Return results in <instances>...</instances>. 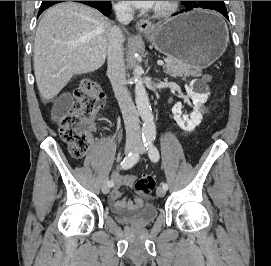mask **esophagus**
<instances>
[{"mask_svg":"<svg viewBox=\"0 0 271 266\" xmlns=\"http://www.w3.org/2000/svg\"><path fill=\"white\" fill-rule=\"evenodd\" d=\"M136 26L140 32H150L153 29L152 22L146 19L138 21Z\"/></svg>","mask_w":271,"mask_h":266,"instance_id":"obj_1","label":"esophagus"}]
</instances>
